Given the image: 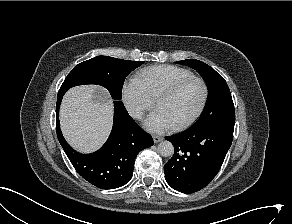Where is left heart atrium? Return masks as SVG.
Here are the masks:
<instances>
[{"label":"left heart atrium","mask_w":292,"mask_h":224,"mask_svg":"<svg viewBox=\"0 0 292 224\" xmlns=\"http://www.w3.org/2000/svg\"><path fill=\"white\" fill-rule=\"evenodd\" d=\"M144 126L148 131L153 133H162L174 128L171 120L158 108L148 116L144 122Z\"/></svg>","instance_id":"39dd6f15"}]
</instances>
